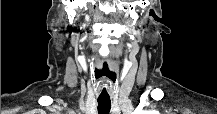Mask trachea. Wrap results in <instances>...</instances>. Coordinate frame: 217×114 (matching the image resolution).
Segmentation results:
<instances>
[{"label": "trachea", "mask_w": 217, "mask_h": 114, "mask_svg": "<svg viewBox=\"0 0 217 114\" xmlns=\"http://www.w3.org/2000/svg\"><path fill=\"white\" fill-rule=\"evenodd\" d=\"M98 113L99 114H109L111 109L110 98H98Z\"/></svg>", "instance_id": "obj_1"}]
</instances>
